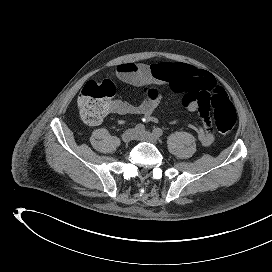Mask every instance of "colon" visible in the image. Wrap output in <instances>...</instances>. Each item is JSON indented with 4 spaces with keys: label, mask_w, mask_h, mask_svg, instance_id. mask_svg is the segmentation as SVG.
<instances>
[{
    "label": "colon",
    "mask_w": 272,
    "mask_h": 272,
    "mask_svg": "<svg viewBox=\"0 0 272 272\" xmlns=\"http://www.w3.org/2000/svg\"><path fill=\"white\" fill-rule=\"evenodd\" d=\"M154 96L160 95L153 90ZM115 95V84L110 79L87 82L79 93L77 104L82 120L89 125H96L109 113ZM213 109L215 125L222 134L229 133L235 126L237 115L234 106L223 90H217L209 98Z\"/></svg>",
    "instance_id": "obj_1"
}]
</instances>
